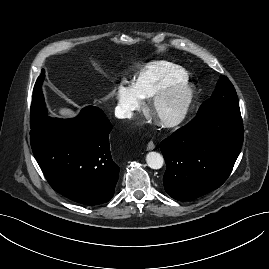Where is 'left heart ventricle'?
I'll return each mask as SVG.
<instances>
[{
    "instance_id": "obj_1",
    "label": "left heart ventricle",
    "mask_w": 269,
    "mask_h": 269,
    "mask_svg": "<svg viewBox=\"0 0 269 269\" xmlns=\"http://www.w3.org/2000/svg\"><path fill=\"white\" fill-rule=\"evenodd\" d=\"M179 107V100L177 98L169 99L163 102L155 111V116L158 118H168L173 116Z\"/></svg>"
}]
</instances>
